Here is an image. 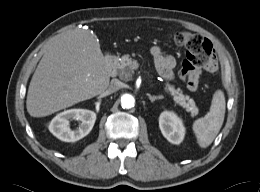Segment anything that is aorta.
Here are the masks:
<instances>
[{
    "mask_svg": "<svg viewBox=\"0 0 260 192\" xmlns=\"http://www.w3.org/2000/svg\"><path fill=\"white\" fill-rule=\"evenodd\" d=\"M135 105V99L132 95L130 94H124L121 97V106L124 109H130L132 107H134Z\"/></svg>",
    "mask_w": 260,
    "mask_h": 192,
    "instance_id": "aorta-1",
    "label": "aorta"
}]
</instances>
